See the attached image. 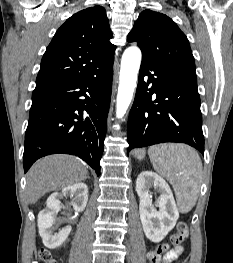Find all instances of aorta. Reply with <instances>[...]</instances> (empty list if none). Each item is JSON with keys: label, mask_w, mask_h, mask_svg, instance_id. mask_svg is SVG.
Returning a JSON list of instances; mask_svg holds the SVG:
<instances>
[{"label": "aorta", "mask_w": 233, "mask_h": 263, "mask_svg": "<svg viewBox=\"0 0 233 263\" xmlns=\"http://www.w3.org/2000/svg\"><path fill=\"white\" fill-rule=\"evenodd\" d=\"M141 63V51L137 47L125 50L121 60L119 87L116 103V117L122 118L133 97L136 87L137 74Z\"/></svg>", "instance_id": "762f6f07"}]
</instances>
